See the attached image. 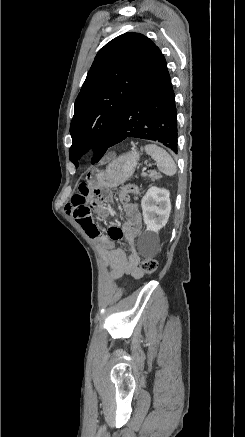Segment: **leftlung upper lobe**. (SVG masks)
<instances>
[{"instance_id": "obj_1", "label": "left lung upper lobe", "mask_w": 245, "mask_h": 437, "mask_svg": "<svg viewBox=\"0 0 245 437\" xmlns=\"http://www.w3.org/2000/svg\"><path fill=\"white\" fill-rule=\"evenodd\" d=\"M159 48L140 33H125L107 43L96 55L75 101L70 125L69 158L78 159L90 149L92 163L105 154L120 114Z\"/></svg>"}]
</instances>
